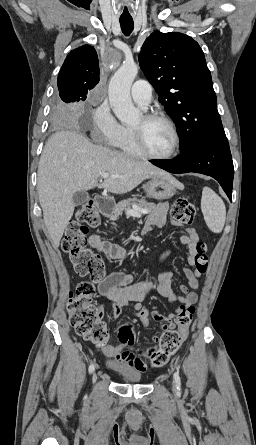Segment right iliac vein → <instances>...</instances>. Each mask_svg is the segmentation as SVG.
Here are the masks:
<instances>
[{"label": "right iliac vein", "mask_w": 256, "mask_h": 445, "mask_svg": "<svg viewBox=\"0 0 256 445\" xmlns=\"http://www.w3.org/2000/svg\"><path fill=\"white\" fill-rule=\"evenodd\" d=\"M97 378H98L97 373L94 372L93 375H92V381H93V383L96 382Z\"/></svg>", "instance_id": "right-iliac-vein-1"}]
</instances>
